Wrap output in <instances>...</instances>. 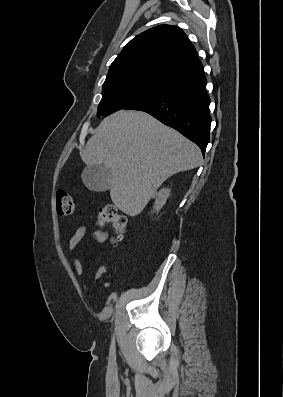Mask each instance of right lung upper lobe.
I'll return each instance as SVG.
<instances>
[{"label":"right lung upper lobe","mask_w":283,"mask_h":397,"mask_svg":"<svg viewBox=\"0 0 283 397\" xmlns=\"http://www.w3.org/2000/svg\"><path fill=\"white\" fill-rule=\"evenodd\" d=\"M201 69L195 47L185 33L175 26L159 25L128 42L107 76L144 73L170 82Z\"/></svg>","instance_id":"right-lung-upper-lobe-1"}]
</instances>
